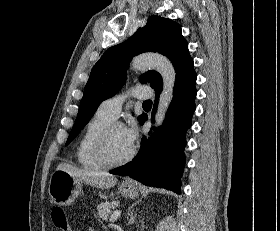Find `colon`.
Returning <instances> with one entry per match:
<instances>
[{
    "label": "colon",
    "instance_id": "5ec220e1",
    "mask_svg": "<svg viewBox=\"0 0 280 231\" xmlns=\"http://www.w3.org/2000/svg\"><path fill=\"white\" fill-rule=\"evenodd\" d=\"M51 219L54 220V225H60L59 231H72L73 225H67L64 212L60 208H53L51 212Z\"/></svg>",
    "mask_w": 280,
    "mask_h": 231
}]
</instances>
